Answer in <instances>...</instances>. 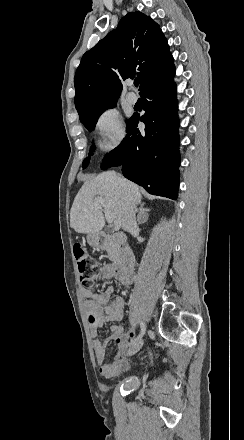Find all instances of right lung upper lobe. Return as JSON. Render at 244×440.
Listing matches in <instances>:
<instances>
[{"mask_svg": "<svg viewBox=\"0 0 244 440\" xmlns=\"http://www.w3.org/2000/svg\"><path fill=\"white\" fill-rule=\"evenodd\" d=\"M172 62L159 26L141 12H130L83 55L75 74V107L86 110L118 99L121 80L134 76L141 90L148 77Z\"/></svg>", "mask_w": 244, "mask_h": 440, "instance_id": "cb5924a9", "label": "right lung upper lobe"}]
</instances>
